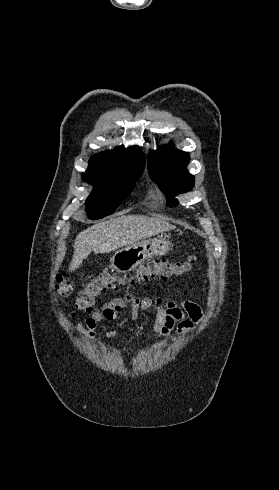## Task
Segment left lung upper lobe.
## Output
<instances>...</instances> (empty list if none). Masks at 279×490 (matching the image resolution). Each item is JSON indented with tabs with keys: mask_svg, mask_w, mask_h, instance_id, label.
Masks as SVG:
<instances>
[{
	"mask_svg": "<svg viewBox=\"0 0 279 490\" xmlns=\"http://www.w3.org/2000/svg\"><path fill=\"white\" fill-rule=\"evenodd\" d=\"M189 154L176 149L172 144L149 152L148 166L151 179L158 183L169 206L177 203L176 194L187 192L194 186V176L186 169Z\"/></svg>",
	"mask_w": 279,
	"mask_h": 490,
	"instance_id": "left-lung-upper-lobe-1",
	"label": "left lung upper lobe"
}]
</instances>
